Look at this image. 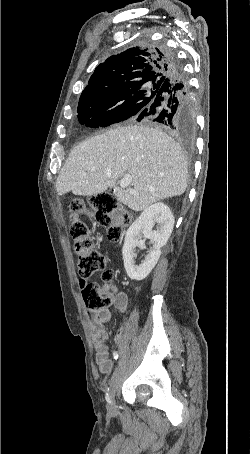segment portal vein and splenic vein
Instances as JSON below:
<instances>
[{
  "label": "portal vein and splenic vein",
  "instance_id": "1",
  "mask_svg": "<svg viewBox=\"0 0 250 454\" xmlns=\"http://www.w3.org/2000/svg\"><path fill=\"white\" fill-rule=\"evenodd\" d=\"M130 175H125L119 182V185L121 188L123 189H127L129 190L131 193H135V191L133 189H128V185L130 183Z\"/></svg>",
  "mask_w": 250,
  "mask_h": 454
}]
</instances>
